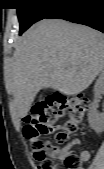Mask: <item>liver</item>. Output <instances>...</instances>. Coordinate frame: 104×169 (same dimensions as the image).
<instances>
[{"mask_svg": "<svg viewBox=\"0 0 104 169\" xmlns=\"http://www.w3.org/2000/svg\"><path fill=\"white\" fill-rule=\"evenodd\" d=\"M104 68V35L62 19H44L19 39L7 76L20 117L36 94L51 88L73 95L84 91Z\"/></svg>", "mask_w": 104, "mask_h": 169, "instance_id": "liver-1", "label": "liver"}]
</instances>
